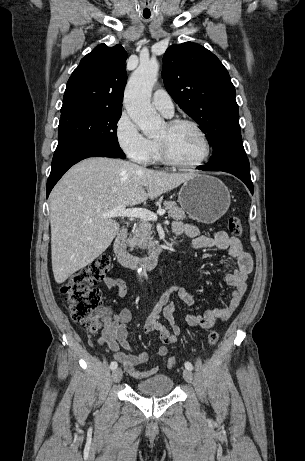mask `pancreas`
<instances>
[{"label": "pancreas", "mask_w": 305, "mask_h": 461, "mask_svg": "<svg viewBox=\"0 0 305 461\" xmlns=\"http://www.w3.org/2000/svg\"><path fill=\"white\" fill-rule=\"evenodd\" d=\"M163 204L164 208L168 210L170 218L177 221L186 218L185 212L177 206L176 202L165 201ZM127 244L131 249L138 246L143 249L155 250L157 242L154 240L152 224L146 220H141L135 224Z\"/></svg>", "instance_id": "pancreas-1"}]
</instances>
